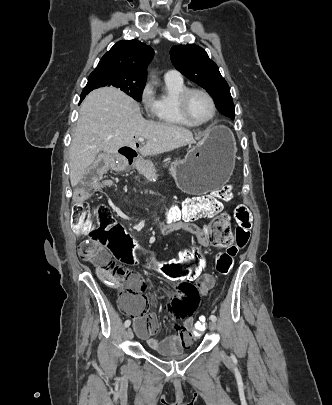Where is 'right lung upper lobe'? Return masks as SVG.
<instances>
[{
    "label": "right lung upper lobe",
    "instance_id": "cb5924a9",
    "mask_svg": "<svg viewBox=\"0 0 332 405\" xmlns=\"http://www.w3.org/2000/svg\"><path fill=\"white\" fill-rule=\"evenodd\" d=\"M153 56V49L145 43L136 39L121 40L101 58L92 73L110 71L146 80V68Z\"/></svg>",
    "mask_w": 332,
    "mask_h": 405
}]
</instances>
